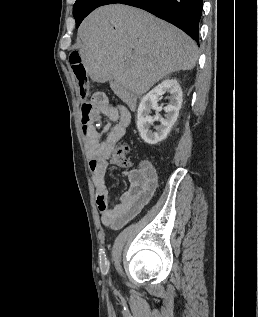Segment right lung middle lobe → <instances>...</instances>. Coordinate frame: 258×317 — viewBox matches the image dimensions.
I'll return each instance as SVG.
<instances>
[{"label":"right lung middle lobe","instance_id":"right-lung-middle-lobe-1","mask_svg":"<svg viewBox=\"0 0 258 317\" xmlns=\"http://www.w3.org/2000/svg\"><path fill=\"white\" fill-rule=\"evenodd\" d=\"M86 2V0H76L74 6H73V15L74 18L76 17V15L78 14V12L80 11L81 7L83 6V4Z\"/></svg>","mask_w":258,"mask_h":317}]
</instances>
